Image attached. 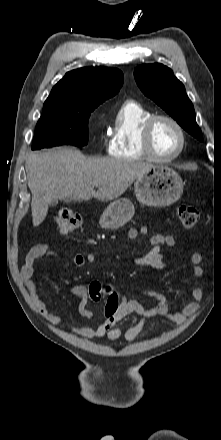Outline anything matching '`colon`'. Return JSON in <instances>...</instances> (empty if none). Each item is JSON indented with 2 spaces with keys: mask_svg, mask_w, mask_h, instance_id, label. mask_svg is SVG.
<instances>
[{
  "mask_svg": "<svg viewBox=\"0 0 221 440\" xmlns=\"http://www.w3.org/2000/svg\"><path fill=\"white\" fill-rule=\"evenodd\" d=\"M177 219L185 228H193L199 221L198 210L190 205H181L176 211ZM55 222L60 235L66 236L78 229L82 223L81 215L71 208H61L58 210ZM109 288H104L98 281L90 283L89 300L98 302ZM121 304L120 297L115 292L110 293L109 297H105L104 306L101 308L102 320L113 321L114 315L118 312V306Z\"/></svg>",
  "mask_w": 221,
  "mask_h": 440,
  "instance_id": "5ec220e1",
  "label": "colon"
}]
</instances>
